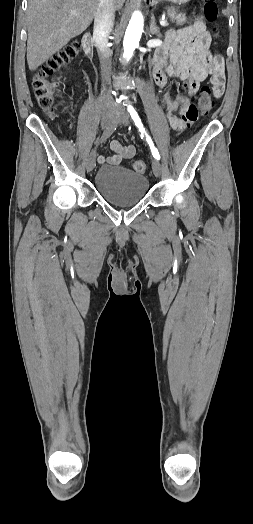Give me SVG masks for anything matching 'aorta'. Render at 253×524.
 Listing matches in <instances>:
<instances>
[{
	"label": "aorta",
	"mask_w": 253,
	"mask_h": 524,
	"mask_svg": "<svg viewBox=\"0 0 253 524\" xmlns=\"http://www.w3.org/2000/svg\"><path fill=\"white\" fill-rule=\"evenodd\" d=\"M143 17L140 12H134L125 32L123 57L130 59L139 44L143 32Z\"/></svg>",
	"instance_id": "1"
}]
</instances>
